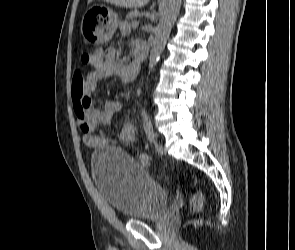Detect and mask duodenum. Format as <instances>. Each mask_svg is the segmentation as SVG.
<instances>
[{
	"label": "duodenum",
	"instance_id": "duodenum-1",
	"mask_svg": "<svg viewBox=\"0 0 295 250\" xmlns=\"http://www.w3.org/2000/svg\"><path fill=\"white\" fill-rule=\"evenodd\" d=\"M135 60L137 64V68L140 69V66L144 63L147 55V51L145 47L136 46L134 49Z\"/></svg>",
	"mask_w": 295,
	"mask_h": 250
}]
</instances>
